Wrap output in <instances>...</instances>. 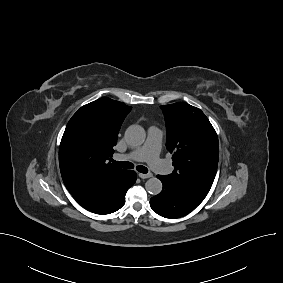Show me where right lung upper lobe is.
<instances>
[{"mask_svg":"<svg viewBox=\"0 0 283 283\" xmlns=\"http://www.w3.org/2000/svg\"><path fill=\"white\" fill-rule=\"evenodd\" d=\"M131 107L110 98L82 106L68 122L59 148L63 182L79 204H87L127 170L110 162L118 132Z\"/></svg>","mask_w":283,"mask_h":283,"instance_id":"right-lung-upper-lobe-1","label":"right lung upper lobe"}]
</instances>
